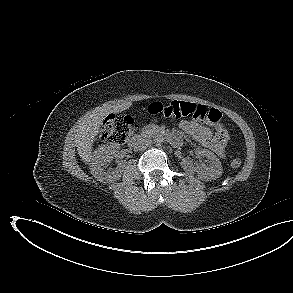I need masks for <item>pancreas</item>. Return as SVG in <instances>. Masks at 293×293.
Wrapping results in <instances>:
<instances>
[{
  "mask_svg": "<svg viewBox=\"0 0 293 293\" xmlns=\"http://www.w3.org/2000/svg\"><path fill=\"white\" fill-rule=\"evenodd\" d=\"M159 131V127L156 125H148L145 127V132L150 134L157 133Z\"/></svg>",
  "mask_w": 293,
  "mask_h": 293,
  "instance_id": "cf45deb5",
  "label": "pancreas"
}]
</instances>
